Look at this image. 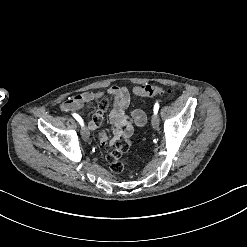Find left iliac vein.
Returning a JSON list of instances; mask_svg holds the SVG:
<instances>
[{"label": "left iliac vein", "instance_id": "4c4485c4", "mask_svg": "<svg viewBox=\"0 0 247 247\" xmlns=\"http://www.w3.org/2000/svg\"><path fill=\"white\" fill-rule=\"evenodd\" d=\"M152 126L155 130H159V118L156 114L152 115Z\"/></svg>", "mask_w": 247, "mask_h": 247}]
</instances>
